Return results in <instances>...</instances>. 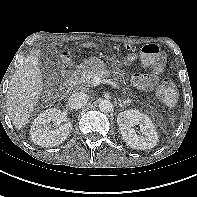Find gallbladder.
<instances>
[{"instance_id": "bac80fb5", "label": "gallbladder", "mask_w": 197, "mask_h": 197, "mask_svg": "<svg viewBox=\"0 0 197 197\" xmlns=\"http://www.w3.org/2000/svg\"><path fill=\"white\" fill-rule=\"evenodd\" d=\"M39 59L40 61L43 63V64H49V59H48V53L46 51H42L40 54H39ZM46 64V65H47Z\"/></svg>"}]
</instances>
